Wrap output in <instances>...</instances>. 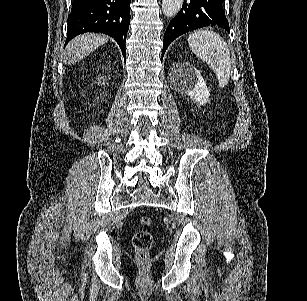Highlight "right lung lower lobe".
Wrapping results in <instances>:
<instances>
[{
	"mask_svg": "<svg viewBox=\"0 0 307 301\" xmlns=\"http://www.w3.org/2000/svg\"><path fill=\"white\" fill-rule=\"evenodd\" d=\"M130 23V0H73L65 45L85 32L105 33L119 44L125 58Z\"/></svg>",
	"mask_w": 307,
	"mask_h": 301,
	"instance_id": "obj_1",
	"label": "right lung lower lobe"
}]
</instances>
